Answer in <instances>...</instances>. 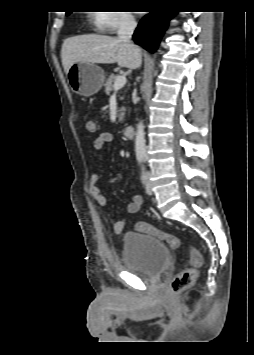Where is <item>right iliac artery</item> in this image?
Segmentation results:
<instances>
[{
	"instance_id": "obj_1",
	"label": "right iliac artery",
	"mask_w": 254,
	"mask_h": 355,
	"mask_svg": "<svg viewBox=\"0 0 254 355\" xmlns=\"http://www.w3.org/2000/svg\"><path fill=\"white\" fill-rule=\"evenodd\" d=\"M142 159H143L142 157L138 158L139 163H141Z\"/></svg>"
}]
</instances>
